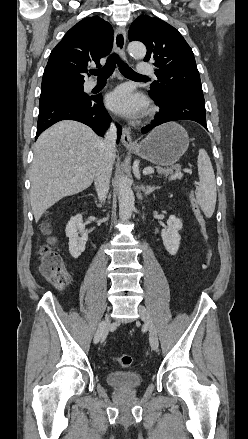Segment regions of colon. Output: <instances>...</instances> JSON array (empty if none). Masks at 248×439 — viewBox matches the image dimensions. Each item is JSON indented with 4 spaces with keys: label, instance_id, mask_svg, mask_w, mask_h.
<instances>
[{
    "label": "colon",
    "instance_id": "obj_1",
    "mask_svg": "<svg viewBox=\"0 0 248 439\" xmlns=\"http://www.w3.org/2000/svg\"><path fill=\"white\" fill-rule=\"evenodd\" d=\"M189 201L197 223L200 227V231L202 237L207 244V231H206V220L203 216L199 204L193 194V192L189 193ZM43 231H49V224L43 225ZM54 241L51 239L48 244L44 245L40 250L41 255V263H40V272L42 276H44L50 283L55 286H63L68 282V274L65 268L64 261L59 253H57L53 247L52 243ZM212 258V250L209 246L206 249V263L204 268L207 269L210 265V261ZM118 363L123 367L131 366L133 362V358L131 355L123 354L117 358Z\"/></svg>",
    "mask_w": 248,
    "mask_h": 439
}]
</instances>
